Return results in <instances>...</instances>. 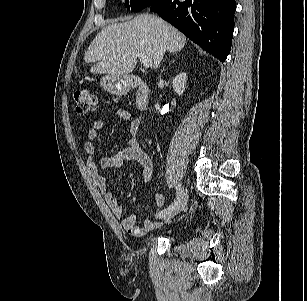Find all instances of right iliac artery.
<instances>
[{"mask_svg": "<svg viewBox=\"0 0 307 301\" xmlns=\"http://www.w3.org/2000/svg\"><path fill=\"white\" fill-rule=\"evenodd\" d=\"M176 190H177V197L176 199L174 200V203H172L169 207H167L166 209L160 211L157 213L156 217L157 218H163L165 217L166 215H168L175 207L177 201L179 200L180 196L182 195L183 193V186L181 184H177L176 186Z\"/></svg>", "mask_w": 307, "mask_h": 301, "instance_id": "right-iliac-artery-1", "label": "right iliac artery"}]
</instances>
